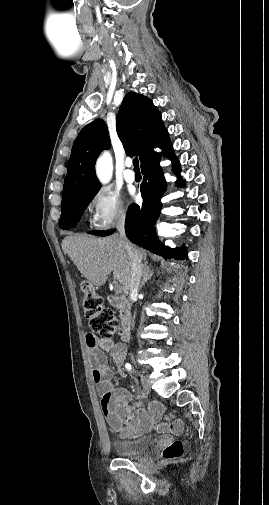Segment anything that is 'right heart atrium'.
Segmentation results:
<instances>
[{"instance_id": "1", "label": "right heart atrium", "mask_w": 269, "mask_h": 505, "mask_svg": "<svg viewBox=\"0 0 269 505\" xmlns=\"http://www.w3.org/2000/svg\"><path fill=\"white\" fill-rule=\"evenodd\" d=\"M90 224L97 230H108L126 219L128 209L121 195L110 187H101L89 202Z\"/></svg>"}]
</instances>
